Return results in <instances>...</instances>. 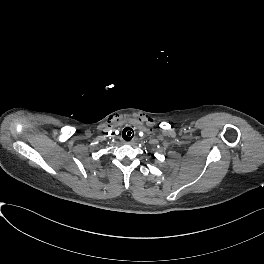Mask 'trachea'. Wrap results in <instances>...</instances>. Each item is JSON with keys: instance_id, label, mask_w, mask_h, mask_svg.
Returning <instances> with one entry per match:
<instances>
[{"instance_id": "3493384b", "label": "trachea", "mask_w": 264, "mask_h": 264, "mask_svg": "<svg viewBox=\"0 0 264 264\" xmlns=\"http://www.w3.org/2000/svg\"><path fill=\"white\" fill-rule=\"evenodd\" d=\"M134 136V131L132 128L130 127H126L124 128V130L122 131V137L124 140L126 141H130L132 139V137Z\"/></svg>"}]
</instances>
